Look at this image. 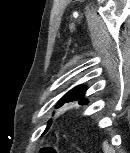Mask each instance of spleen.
Returning <instances> with one entry per match:
<instances>
[{"instance_id":"3e777b00","label":"spleen","mask_w":130,"mask_h":153,"mask_svg":"<svg viewBox=\"0 0 130 153\" xmlns=\"http://www.w3.org/2000/svg\"><path fill=\"white\" fill-rule=\"evenodd\" d=\"M103 151H104V153H115L114 149L112 147H110V145L108 144L107 141H105L103 143Z\"/></svg>"}]
</instances>
